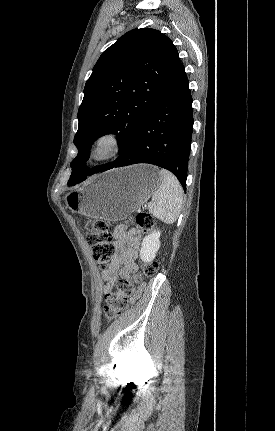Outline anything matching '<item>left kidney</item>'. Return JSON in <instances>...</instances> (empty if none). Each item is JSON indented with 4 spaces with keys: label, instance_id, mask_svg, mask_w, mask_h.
Returning <instances> with one entry per match:
<instances>
[{
    "label": "left kidney",
    "instance_id": "5707ae66",
    "mask_svg": "<svg viewBox=\"0 0 275 431\" xmlns=\"http://www.w3.org/2000/svg\"><path fill=\"white\" fill-rule=\"evenodd\" d=\"M160 235L159 230H153L149 235L143 238L140 250V258L144 262H151L157 251L160 248Z\"/></svg>",
    "mask_w": 275,
    "mask_h": 431
}]
</instances>
